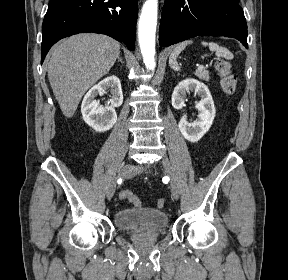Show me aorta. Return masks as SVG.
<instances>
[{"mask_svg":"<svg viewBox=\"0 0 288 280\" xmlns=\"http://www.w3.org/2000/svg\"><path fill=\"white\" fill-rule=\"evenodd\" d=\"M158 0H146L138 25L139 45L147 69L155 68V33L157 25Z\"/></svg>","mask_w":288,"mask_h":280,"instance_id":"1","label":"aorta"}]
</instances>
